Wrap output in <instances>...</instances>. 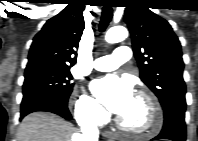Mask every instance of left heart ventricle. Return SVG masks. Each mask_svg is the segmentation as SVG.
Returning a JSON list of instances; mask_svg holds the SVG:
<instances>
[{
	"instance_id": "obj_1",
	"label": "left heart ventricle",
	"mask_w": 198,
	"mask_h": 141,
	"mask_svg": "<svg viewBox=\"0 0 198 141\" xmlns=\"http://www.w3.org/2000/svg\"><path fill=\"white\" fill-rule=\"evenodd\" d=\"M122 121L129 127L136 129H144L149 126V115L146 104L134 97L129 108L120 115Z\"/></svg>"
}]
</instances>
